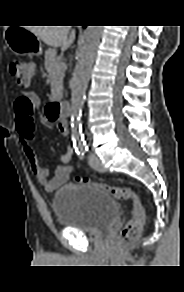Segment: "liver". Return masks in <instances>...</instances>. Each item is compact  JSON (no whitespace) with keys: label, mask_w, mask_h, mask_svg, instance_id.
Masks as SVG:
<instances>
[{"label":"liver","mask_w":184,"mask_h":292,"mask_svg":"<svg viewBox=\"0 0 184 292\" xmlns=\"http://www.w3.org/2000/svg\"><path fill=\"white\" fill-rule=\"evenodd\" d=\"M28 30L46 45L61 47L62 51L68 49L75 39V30L70 33L71 26H35L28 28Z\"/></svg>","instance_id":"1"}]
</instances>
